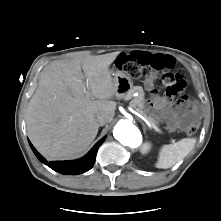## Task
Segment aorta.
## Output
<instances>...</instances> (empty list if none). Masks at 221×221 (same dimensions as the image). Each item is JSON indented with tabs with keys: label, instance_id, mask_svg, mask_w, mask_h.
Instances as JSON below:
<instances>
[{
	"label": "aorta",
	"instance_id": "762f6f07",
	"mask_svg": "<svg viewBox=\"0 0 221 221\" xmlns=\"http://www.w3.org/2000/svg\"><path fill=\"white\" fill-rule=\"evenodd\" d=\"M114 137L123 145L138 147L142 142L139 129L129 120H120L113 130Z\"/></svg>",
	"mask_w": 221,
	"mask_h": 221
}]
</instances>
